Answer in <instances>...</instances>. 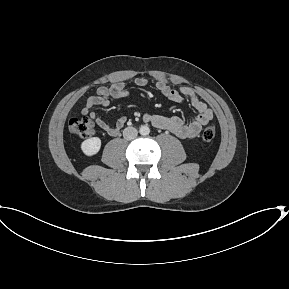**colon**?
Returning <instances> with one entry per match:
<instances>
[{
    "mask_svg": "<svg viewBox=\"0 0 289 289\" xmlns=\"http://www.w3.org/2000/svg\"><path fill=\"white\" fill-rule=\"evenodd\" d=\"M69 130L75 136L85 139L93 135L94 123L88 117L72 118L69 121ZM215 134V126L210 123L204 128L202 138L204 141L209 142L214 139Z\"/></svg>",
    "mask_w": 289,
    "mask_h": 289,
    "instance_id": "1",
    "label": "colon"
}]
</instances>
